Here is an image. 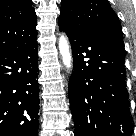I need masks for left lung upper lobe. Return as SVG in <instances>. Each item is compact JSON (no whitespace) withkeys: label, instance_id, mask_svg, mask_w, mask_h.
Instances as JSON below:
<instances>
[{"label":"left lung upper lobe","instance_id":"obj_1","mask_svg":"<svg viewBox=\"0 0 136 136\" xmlns=\"http://www.w3.org/2000/svg\"><path fill=\"white\" fill-rule=\"evenodd\" d=\"M58 24L68 30L110 34L123 41L120 21L106 0H62Z\"/></svg>","mask_w":136,"mask_h":136}]
</instances>
